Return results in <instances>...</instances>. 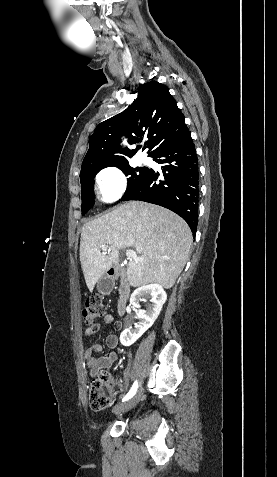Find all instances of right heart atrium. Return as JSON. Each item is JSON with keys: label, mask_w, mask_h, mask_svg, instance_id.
Wrapping results in <instances>:
<instances>
[{"label": "right heart atrium", "mask_w": 277, "mask_h": 477, "mask_svg": "<svg viewBox=\"0 0 277 477\" xmlns=\"http://www.w3.org/2000/svg\"><path fill=\"white\" fill-rule=\"evenodd\" d=\"M96 186L105 202L118 200L126 190V177L116 166H107L96 175Z\"/></svg>", "instance_id": "1"}]
</instances>
